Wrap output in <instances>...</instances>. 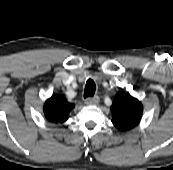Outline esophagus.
<instances>
[{
    "mask_svg": "<svg viewBox=\"0 0 173 170\" xmlns=\"http://www.w3.org/2000/svg\"><path fill=\"white\" fill-rule=\"evenodd\" d=\"M100 99L98 96H94V97H88L85 99L84 103L86 105H97L99 103Z\"/></svg>",
    "mask_w": 173,
    "mask_h": 170,
    "instance_id": "obj_1",
    "label": "esophagus"
}]
</instances>
